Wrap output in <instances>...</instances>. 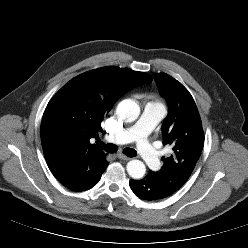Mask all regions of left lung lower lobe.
<instances>
[{
    "label": "left lung lower lobe",
    "mask_w": 248,
    "mask_h": 248,
    "mask_svg": "<svg viewBox=\"0 0 248 248\" xmlns=\"http://www.w3.org/2000/svg\"><path fill=\"white\" fill-rule=\"evenodd\" d=\"M134 194L142 200H161L172 195L163 185L158 183L151 173L141 180H130Z\"/></svg>",
    "instance_id": "left-lung-lower-lobe-1"
}]
</instances>
